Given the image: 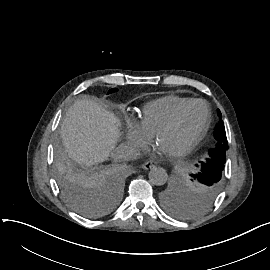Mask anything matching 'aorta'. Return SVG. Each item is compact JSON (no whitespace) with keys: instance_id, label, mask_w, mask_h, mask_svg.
Wrapping results in <instances>:
<instances>
[{"instance_id":"762f6f07","label":"aorta","mask_w":270,"mask_h":270,"mask_svg":"<svg viewBox=\"0 0 270 270\" xmlns=\"http://www.w3.org/2000/svg\"><path fill=\"white\" fill-rule=\"evenodd\" d=\"M167 172L163 168H152L149 172V180L153 185L162 186L167 182Z\"/></svg>"}]
</instances>
